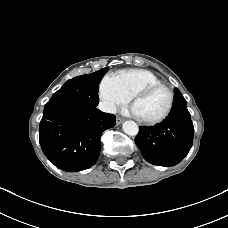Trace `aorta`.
Here are the masks:
<instances>
[{
	"label": "aorta",
	"mask_w": 228,
	"mask_h": 228,
	"mask_svg": "<svg viewBox=\"0 0 228 228\" xmlns=\"http://www.w3.org/2000/svg\"><path fill=\"white\" fill-rule=\"evenodd\" d=\"M122 129L127 135H130V136L137 135L139 131V127L136 124V122L131 120L125 121L122 125Z\"/></svg>",
	"instance_id": "aorta-1"
}]
</instances>
